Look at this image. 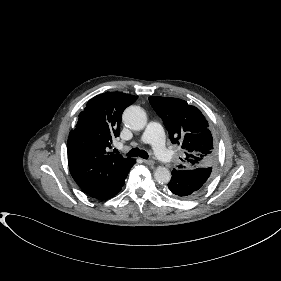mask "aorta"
Wrapping results in <instances>:
<instances>
[{"label": "aorta", "mask_w": 281, "mask_h": 281, "mask_svg": "<svg viewBox=\"0 0 281 281\" xmlns=\"http://www.w3.org/2000/svg\"><path fill=\"white\" fill-rule=\"evenodd\" d=\"M123 121L133 130H142L146 126L147 116L141 107L129 106L123 112ZM154 178L159 183H168L171 173L167 168L159 166L154 171Z\"/></svg>", "instance_id": "1"}]
</instances>
